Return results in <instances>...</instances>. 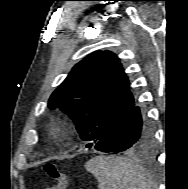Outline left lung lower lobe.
Segmentation results:
<instances>
[{"instance_id":"1","label":"left lung lower lobe","mask_w":188,"mask_h":189,"mask_svg":"<svg viewBox=\"0 0 188 189\" xmlns=\"http://www.w3.org/2000/svg\"><path fill=\"white\" fill-rule=\"evenodd\" d=\"M151 140V127L140 108L134 106L94 147L102 152H124L145 147Z\"/></svg>"}]
</instances>
